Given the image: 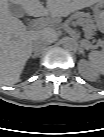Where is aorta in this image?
<instances>
[{
	"label": "aorta",
	"instance_id": "1",
	"mask_svg": "<svg viewBox=\"0 0 104 137\" xmlns=\"http://www.w3.org/2000/svg\"><path fill=\"white\" fill-rule=\"evenodd\" d=\"M62 47L67 51H75L78 48V43L74 38L64 37L61 41Z\"/></svg>",
	"mask_w": 104,
	"mask_h": 137
}]
</instances>
